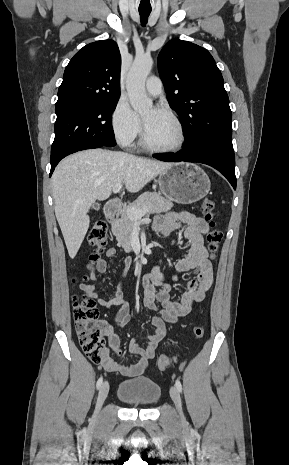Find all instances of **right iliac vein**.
<instances>
[{"label":"right iliac vein","mask_w":289,"mask_h":465,"mask_svg":"<svg viewBox=\"0 0 289 465\" xmlns=\"http://www.w3.org/2000/svg\"><path fill=\"white\" fill-rule=\"evenodd\" d=\"M109 392V384L108 382H104L98 392L97 402H96V409H95V418L97 417L105 399L107 398Z\"/></svg>","instance_id":"63e3f726"}]
</instances>
